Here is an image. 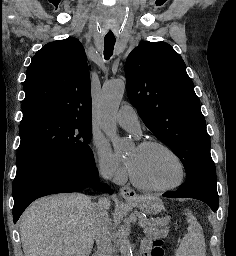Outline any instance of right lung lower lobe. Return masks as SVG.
<instances>
[{"instance_id":"obj_1","label":"right lung lower lobe","mask_w":236,"mask_h":256,"mask_svg":"<svg viewBox=\"0 0 236 256\" xmlns=\"http://www.w3.org/2000/svg\"><path fill=\"white\" fill-rule=\"evenodd\" d=\"M112 193L99 183L95 161L75 158H53L33 162L17 170L13 181V220L17 222L26 207L35 199L64 192H76L86 186Z\"/></svg>"}]
</instances>
